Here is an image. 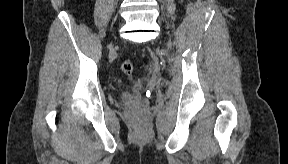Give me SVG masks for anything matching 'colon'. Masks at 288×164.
<instances>
[{"mask_svg":"<svg viewBox=\"0 0 288 164\" xmlns=\"http://www.w3.org/2000/svg\"><path fill=\"white\" fill-rule=\"evenodd\" d=\"M121 69L128 77H131L134 71V65L130 60H125L121 64Z\"/></svg>","mask_w":288,"mask_h":164,"instance_id":"5ec220e1","label":"colon"}]
</instances>
